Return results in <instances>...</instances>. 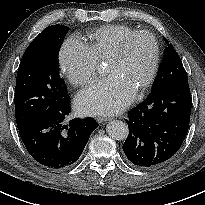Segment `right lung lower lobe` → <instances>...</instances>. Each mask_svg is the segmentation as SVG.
I'll list each match as a JSON object with an SVG mask.
<instances>
[{
    "label": "right lung lower lobe",
    "instance_id": "right-lung-lower-lobe-1",
    "mask_svg": "<svg viewBox=\"0 0 205 205\" xmlns=\"http://www.w3.org/2000/svg\"><path fill=\"white\" fill-rule=\"evenodd\" d=\"M71 111L70 98L52 105L19 128L20 137L30 155L52 170L72 166L80 157L91 133L98 127L93 118L63 121Z\"/></svg>",
    "mask_w": 205,
    "mask_h": 205
}]
</instances>
